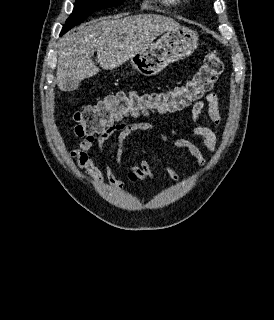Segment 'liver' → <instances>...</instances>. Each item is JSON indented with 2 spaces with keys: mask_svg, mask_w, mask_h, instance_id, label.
Returning <instances> with one entry per match:
<instances>
[{
  "mask_svg": "<svg viewBox=\"0 0 274 320\" xmlns=\"http://www.w3.org/2000/svg\"><path fill=\"white\" fill-rule=\"evenodd\" d=\"M178 26L166 16L139 14L122 20L99 18L73 28L59 42L56 76L60 90H76L80 80L98 74L99 68L91 60L94 52L102 70H114L145 52L157 36Z\"/></svg>",
  "mask_w": 274,
  "mask_h": 320,
  "instance_id": "obj_1",
  "label": "liver"
}]
</instances>
